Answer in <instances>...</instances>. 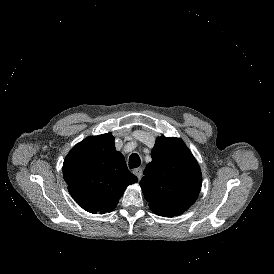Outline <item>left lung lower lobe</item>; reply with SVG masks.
Returning <instances> with one entry per match:
<instances>
[{
	"mask_svg": "<svg viewBox=\"0 0 274 274\" xmlns=\"http://www.w3.org/2000/svg\"><path fill=\"white\" fill-rule=\"evenodd\" d=\"M175 215V214H174ZM174 215H160V216H164V217H172Z\"/></svg>",
	"mask_w": 274,
	"mask_h": 274,
	"instance_id": "obj_1",
	"label": "left lung lower lobe"
}]
</instances>
